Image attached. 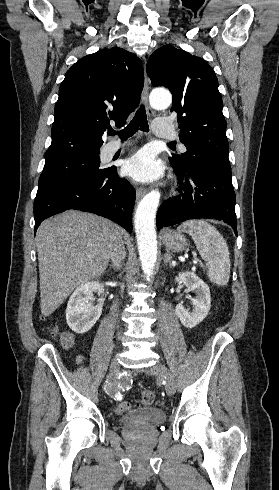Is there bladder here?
<instances>
[{
    "instance_id": "1",
    "label": "bladder",
    "mask_w": 279,
    "mask_h": 490,
    "mask_svg": "<svg viewBox=\"0 0 279 490\" xmlns=\"http://www.w3.org/2000/svg\"><path fill=\"white\" fill-rule=\"evenodd\" d=\"M166 420V415L162 408L157 406H140L129 411L125 416L120 418L122 429L132 427L156 426Z\"/></svg>"
}]
</instances>
